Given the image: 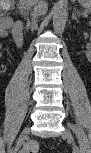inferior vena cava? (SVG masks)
Returning a JSON list of instances; mask_svg holds the SVG:
<instances>
[{"label":"inferior vena cava","mask_w":91,"mask_h":153,"mask_svg":"<svg viewBox=\"0 0 91 153\" xmlns=\"http://www.w3.org/2000/svg\"><path fill=\"white\" fill-rule=\"evenodd\" d=\"M33 12L31 14L32 16V23H29L30 25H35L37 18L42 16L43 14H45L47 12V3L44 2L43 0H34L33 1Z\"/></svg>","instance_id":"1"}]
</instances>
